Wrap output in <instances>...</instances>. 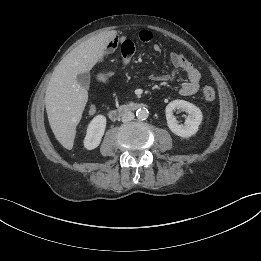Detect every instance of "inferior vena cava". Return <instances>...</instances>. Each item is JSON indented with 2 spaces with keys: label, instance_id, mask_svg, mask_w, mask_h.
<instances>
[{
  "label": "inferior vena cava",
  "instance_id": "obj_1",
  "mask_svg": "<svg viewBox=\"0 0 261 261\" xmlns=\"http://www.w3.org/2000/svg\"><path fill=\"white\" fill-rule=\"evenodd\" d=\"M134 119V113L131 111L124 112L121 115L122 122H128Z\"/></svg>",
  "mask_w": 261,
  "mask_h": 261
}]
</instances>
